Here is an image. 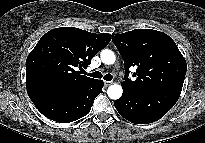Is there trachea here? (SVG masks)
I'll use <instances>...</instances> for the list:
<instances>
[{
  "mask_svg": "<svg viewBox=\"0 0 205 143\" xmlns=\"http://www.w3.org/2000/svg\"><path fill=\"white\" fill-rule=\"evenodd\" d=\"M91 77H93V78H104V80H106V81H111L112 80V78H113V76L111 75V74H106V75H102L101 74V72H99V71H95V72H93V73H91V74H89Z\"/></svg>",
  "mask_w": 205,
  "mask_h": 143,
  "instance_id": "1",
  "label": "trachea"
}]
</instances>
